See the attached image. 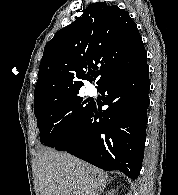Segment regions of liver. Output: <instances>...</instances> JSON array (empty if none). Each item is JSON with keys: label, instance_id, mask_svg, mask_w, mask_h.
<instances>
[{"label": "liver", "instance_id": "liver-1", "mask_svg": "<svg viewBox=\"0 0 178 195\" xmlns=\"http://www.w3.org/2000/svg\"><path fill=\"white\" fill-rule=\"evenodd\" d=\"M40 195H99L108 174L78 158L43 149L37 155Z\"/></svg>", "mask_w": 178, "mask_h": 195}]
</instances>
